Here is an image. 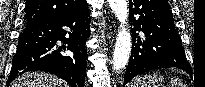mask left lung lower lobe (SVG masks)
<instances>
[{"mask_svg": "<svg viewBox=\"0 0 205 87\" xmlns=\"http://www.w3.org/2000/svg\"><path fill=\"white\" fill-rule=\"evenodd\" d=\"M129 12L133 44L124 85L157 68L176 67L190 73L167 0H129ZM136 31L143 32L145 39Z\"/></svg>", "mask_w": 205, "mask_h": 87, "instance_id": "left-lung-lower-lobe-1", "label": "left lung lower lobe"}]
</instances>
